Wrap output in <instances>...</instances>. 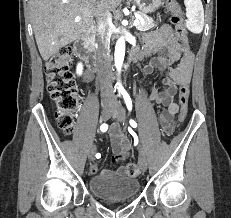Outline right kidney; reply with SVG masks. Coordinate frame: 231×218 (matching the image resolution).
<instances>
[{"label":"right kidney","mask_w":231,"mask_h":218,"mask_svg":"<svg viewBox=\"0 0 231 218\" xmlns=\"http://www.w3.org/2000/svg\"><path fill=\"white\" fill-rule=\"evenodd\" d=\"M82 70H83V66L81 63H79L77 65V74L81 75L82 74Z\"/></svg>","instance_id":"1"}]
</instances>
